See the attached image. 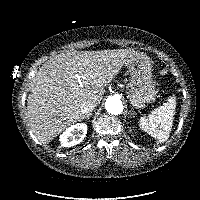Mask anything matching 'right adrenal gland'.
Returning <instances> with one entry per match:
<instances>
[{
    "instance_id": "right-adrenal-gland-1",
    "label": "right adrenal gland",
    "mask_w": 200,
    "mask_h": 200,
    "mask_svg": "<svg viewBox=\"0 0 200 200\" xmlns=\"http://www.w3.org/2000/svg\"><path fill=\"white\" fill-rule=\"evenodd\" d=\"M91 115H92V113H88L86 115H83V116H81L80 120H83V119L89 120Z\"/></svg>"
}]
</instances>
